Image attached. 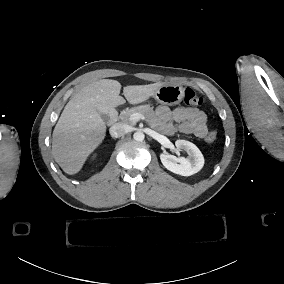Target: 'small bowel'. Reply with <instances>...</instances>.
I'll return each instance as SVG.
<instances>
[{"label":"small bowel","instance_id":"c3829d8e","mask_svg":"<svg viewBox=\"0 0 284 284\" xmlns=\"http://www.w3.org/2000/svg\"><path fill=\"white\" fill-rule=\"evenodd\" d=\"M155 125L167 135L181 133L204 138L208 133L206 114L196 108L170 109L167 106H159L156 109Z\"/></svg>","mask_w":284,"mask_h":284}]
</instances>
